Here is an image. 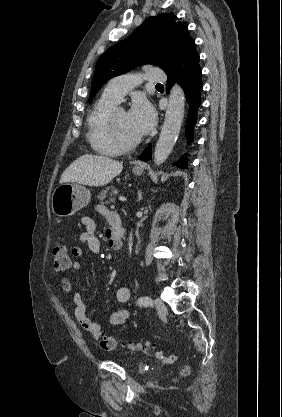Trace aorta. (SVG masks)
I'll return each mask as SVG.
<instances>
[{
    "label": "aorta",
    "instance_id": "762f6f07",
    "mask_svg": "<svg viewBox=\"0 0 282 417\" xmlns=\"http://www.w3.org/2000/svg\"><path fill=\"white\" fill-rule=\"evenodd\" d=\"M185 112V94L179 84L170 90L165 120L154 150L155 164H162L168 158L178 138Z\"/></svg>",
    "mask_w": 282,
    "mask_h": 417
}]
</instances>
